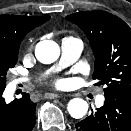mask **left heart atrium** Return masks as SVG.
Returning <instances> with one entry per match:
<instances>
[{"label":"left heart atrium","mask_w":131,"mask_h":131,"mask_svg":"<svg viewBox=\"0 0 131 131\" xmlns=\"http://www.w3.org/2000/svg\"><path fill=\"white\" fill-rule=\"evenodd\" d=\"M55 85H56L57 87H63V86L65 85V81L62 80V79L57 80V81L55 82Z\"/></svg>","instance_id":"obj_1"}]
</instances>
